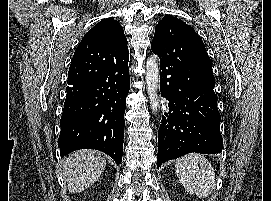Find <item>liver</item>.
<instances>
[{"instance_id":"obj_1","label":"liver","mask_w":271,"mask_h":201,"mask_svg":"<svg viewBox=\"0 0 271 201\" xmlns=\"http://www.w3.org/2000/svg\"><path fill=\"white\" fill-rule=\"evenodd\" d=\"M106 166V156L95 150H78L63 162V176L70 193H80L92 186Z\"/></svg>"}]
</instances>
